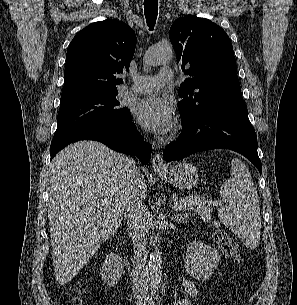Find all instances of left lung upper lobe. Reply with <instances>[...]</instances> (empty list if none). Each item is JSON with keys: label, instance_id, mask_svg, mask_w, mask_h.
Returning a JSON list of instances; mask_svg holds the SVG:
<instances>
[{"label": "left lung upper lobe", "instance_id": "obj_1", "mask_svg": "<svg viewBox=\"0 0 297 305\" xmlns=\"http://www.w3.org/2000/svg\"><path fill=\"white\" fill-rule=\"evenodd\" d=\"M177 61L190 77L180 85L178 109L183 117L241 93L232 43L226 32L205 18L177 19L169 32Z\"/></svg>", "mask_w": 297, "mask_h": 305}]
</instances>
